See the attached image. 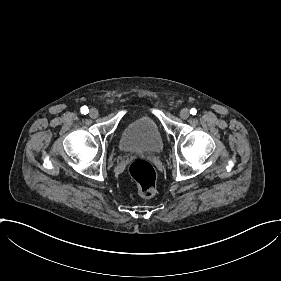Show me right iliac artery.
<instances>
[{
  "mask_svg": "<svg viewBox=\"0 0 281 281\" xmlns=\"http://www.w3.org/2000/svg\"><path fill=\"white\" fill-rule=\"evenodd\" d=\"M88 112H89V109H88L87 106L81 107V113H82V114L86 115Z\"/></svg>",
  "mask_w": 281,
  "mask_h": 281,
  "instance_id": "1",
  "label": "right iliac artery"
}]
</instances>
